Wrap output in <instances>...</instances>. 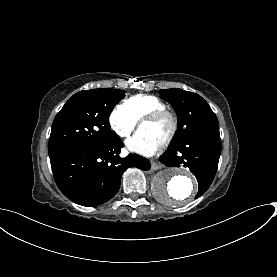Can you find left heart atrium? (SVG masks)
<instances>
[{"label":"left heart atrium","instance_id":"obj_1","mask_svg":"<svg viewBox=\"0 0 277 277\" xmlns=\"http://www.w3.org/2000/svg\"><path fill=\"white\" fill-rule=\"evenodd\" d=\"M129 149L140 154L150 155L161 147V141L144 130H140L126 142Z\"/></svg>","mask_w":277,"mask_h":277}]
</instances>
